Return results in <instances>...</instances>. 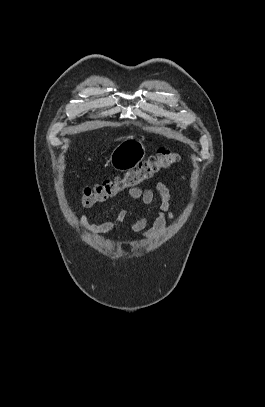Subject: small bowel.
<instances>
[{
    "label": "small bowel",
    "instance_id": "obj_1",
    "mask_svg": "<svg viewBox=\"0 0 265 407\" xmlns=\"http://www.w3.org/2000/svg\"><path fill=\"white\" fill-rule=\"evenodd\" d=\"M156 190L161 198L159 204V210L152 225L148 227L149 221L145 216L140 217L133 224L130 225L129 230L132 233H141L145 238H154L166 229L167 223L175 218L172 211L171 195L167 186L163 182L156 184ZM128 194L133 199H141L146 205H150L154 201V192L150 189L142 190L138 187H134L128 190ZM129 212L126 209H122L117 216L110 221H104L100 223H91L86 214H81L80 223L91 233L103 234L116 230L119 225L126 220Z\"/></svg>",
    "mask_w": 265,
    "mask_h": 407
}]
</instances>
